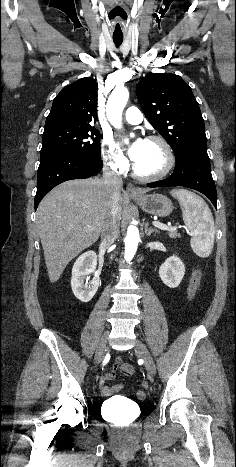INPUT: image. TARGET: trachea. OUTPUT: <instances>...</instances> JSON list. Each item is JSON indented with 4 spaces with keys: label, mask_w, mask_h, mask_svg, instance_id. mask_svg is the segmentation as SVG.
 Instances as JSON below:
<instances>
[{
    "label": "trachea",
    "mask_w": 236,
    "mask_h": 467,
    "mask_svg": "<svg viewBox=\"0 0 236 467\" xmlns=\"http://www.w3.org/2000/svg\"><path fill=\"white\" fill-rule=\"evenodd\" d=\"M113 41L117 46H120L123 42V38L113 37Z\"/></svg>",
    "instance_id": "3493384b"
}]
</instances>
